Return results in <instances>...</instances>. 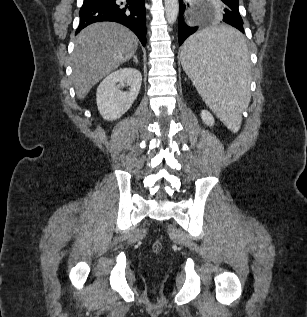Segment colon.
Wrapping results in <instances>:
<instances>
[{
  "label": "colon",
  "instance_id": "obj_1",
  "mask_svg": "<svg viewBox=\"0 0 307 317\" xmlns=\"http://www.w3.org/2000/svg\"><path fill=\"white\" fill-rule=\"evenodd\" d=\"M152 249L155 253H159L162 249V245L160 242H155L152 246Z\"/></svg>",
  "mask_w": 307,
  "mask_h": 317
}]
</instances>
